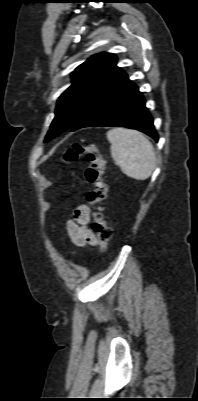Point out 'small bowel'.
I'll return each instance as SVG.
<instances>
[{
  "label": "small bowel",
  "instance_id": "c3829d8e",
  "mask_svg": "<svg viewBox=\"0 0 198 401\" xmlns=\"http://www.w3.org/2000/svg\"><path fill=\"white\" fill-rule=\"evenodd\" d=\"M89 222L90 209L87 204H81L74 210L72 218L66 225L69 240L75 246L98 244L97 237L88 226Z\"/></svg>",
  "mask_w": 198,
  "mask_h": 401
}]
</instances>
